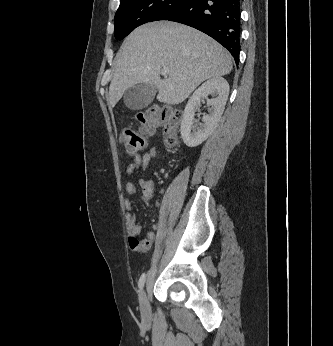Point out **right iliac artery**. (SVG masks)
I'll use <instances>...</instances> for the list:
<instances>
[{
    "label": "right iliac artery",
    "mask_w": 333,
    "mask_h": 346,
    "mask_svg": "<svg viewBox=\"0 0 333 346\" xmlns=\"http://www.w3.org/2000/svg\"><path fill=\"white\" fill-rule=\"evenodd\" d=\"M145 278H146V275H145V273H143L139 279V282H138V287L140 290H142V288L144 287Z\"/></svg>",
    "instance_id": "right-iliac-artery-1"
}]
</instances>
